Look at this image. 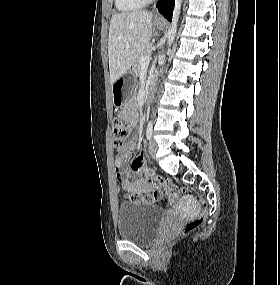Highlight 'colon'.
Returning a JSON list of instances; mask_svg holds the SVG:
<instances>
[{
    "mask_svg": "<svg viewBox=\"0 0 280 285\" xmlns=\"http://www.w3.org/2000/svg\"><path fill=\"white\" fill-rule=\"evenodd\" d=\"M129 134V125L120 118H115L112 122V139L115 147H122L125 143L126 138ZM146 178L161 192L167 195L169 201L172 203L178 196L177 187L169 180L157 176L154 171L147 169L145 171ZM199 203L203 207V211L186 223L183 228L184 234H190L199 228L205 219L207 201L202 195H198ZM130 200L134 203H139L144 200H150L149 198L143 197L139 194H132Z\"/></svg>",
    "mask_w": 280,
    "mask_h": 285,
    "instance_id": "1",
    "label": "colon"
}]
</instances>
